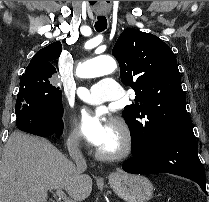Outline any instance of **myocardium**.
Listing matches in <instances>:
<instances>
[{"mask_svg":"<svg viewBox=\"0 0 209 202\" xmlns=\"http://www.w3.org/2000/svg\"><path fill=\"white\" fill-rule=\"evenodd\" d=\"M111 124L114 125L119 131L121 143L119 147L112 152L96 149L95 157L102 161L111 162L125 159L132 153L134 147L133 136L127 124L119 118L111 119Z\"/></svg>","mask_w":209,"mask_h":202,"instance_id":"1","label":"myocardium"}]
</instances>
